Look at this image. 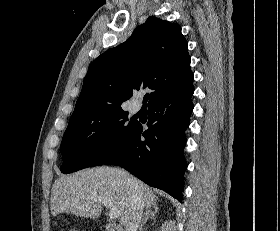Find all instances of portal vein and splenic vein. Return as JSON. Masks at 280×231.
Here are the masks:
<instances>
[{
	"instance_id": "18ae733b",
	"label": "portal vein and splenic vein",
	"mask_w": 280,
	"mask_h": 231,
	"mask_svg": "<svg viewBox=\"0 0 280 231\" xmlns=\"http://www.w3.org/2000/svg\"><path fill=\"white\" fill-rule=\"evenodd\" d=\"M95 201H101L103 205H110V201H108V199H95ZM108 215L110 219H116L119 215V209H117V207H111Z\"/></svg>"
}]
</instances>
